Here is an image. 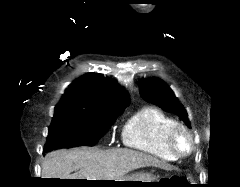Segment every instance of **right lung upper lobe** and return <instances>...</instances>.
Returning <instances> with one entry per match:
<instances>
[{"label":"right lung upper lobe","mask_w":240,"mask_h":187,"mask_svg":"<svg viewBox=\"0 0 240 187\" xmlns=\"http://www.w3.org/2000/svg\"><path fill=\"white\" fill-rule=\"evenodd\" d=\"M129 102L128 93L114 80L92 73L75 80L55 108L111 112L124 109Z\"/></svg>","instance_id":"1"}]
</instances>
